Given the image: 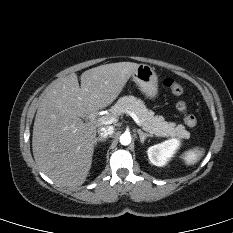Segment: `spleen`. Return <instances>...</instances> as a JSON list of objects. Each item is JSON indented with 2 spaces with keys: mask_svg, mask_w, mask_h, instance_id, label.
Returning a JSON list of instances; mask_svg holds the SVG:
<instances>
[{
  "mask_svg": "<svg viewBox=\"0 0 233 233\" xmlns=\"http://www.w3.org/2000/svg\"><path fill=\"white\" fill-rule=\"evenodd\" d=\"M204 155V150H199L194 148L193 150H188L184 153L183 159L187 165H194L197 163L201 157Z\"/></svg>",
  "mask_w": 233,
  "mask_h": 233,
  "instance_id": "spleen-1",
  "label": "spleen"
}]
</instances>
